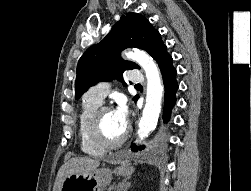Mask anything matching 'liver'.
<instances>
[{"label":"liver","instance_id":"obj_1","mask_svg":"<svg viewBox=\"0 0 251 191\" xmlns=\"http://www.w3.org/2000/svg\"><path fill=\"white\" fill-rule=\"evenodd\" d=\"M98 165H100L99 159H91V157H70L68 161H65V163L61 165L54 181L53 191H60L66 175H71V173L86 175V173L97 169Z\"/></svg>","mask_w":251,"mask_h":191}]
</instances>
